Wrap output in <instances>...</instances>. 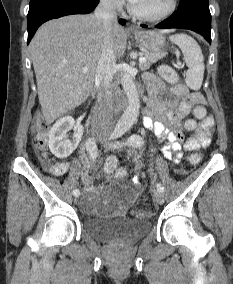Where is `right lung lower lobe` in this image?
Listing matches in <instances>:
<instances>
[{"label":"right lung lower lobe","mask_w":233,"mask_h":284,"mask_svg":"<svg viewBox=\"0 0 233 284\" xmlns=\"http://www.w3.org/2000/svg\"><path fill=\"white\" fill-rule=\"evenodd\" d=\"M99 0H35L30 2L27 16L28 43L44 22L71 14H86L94 10ZM123 25L125 20L121 19Z\"/></svg>","instance_id":"right-lung-lower-lobe-1"}]
</instances>
